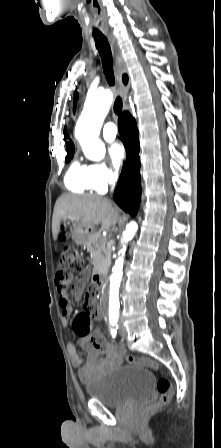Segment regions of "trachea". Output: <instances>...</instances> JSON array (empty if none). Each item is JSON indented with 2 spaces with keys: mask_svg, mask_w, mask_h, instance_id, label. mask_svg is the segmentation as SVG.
Segmentation results:
<instances>
[{
  "mask_svg": "<svg viewBox=\"0 0 221 448\" xmlns=\"http://www.w3.org/2000/svg\"><path fill=\"white\" fill-rule=\"evenodd\" d=\"M96 48L99 51L102 60V66L104 69V74L109 85L114 86V72H113V61L112 53L105 36H94ZM122 111V99L118 96L114 102V112L119 115Z\"/></svg>",
  "mask_w": 221,
  "mask_h": 448,
  "instance_id": "obj_1",
  "label": "trachea"
}]
</instances>
